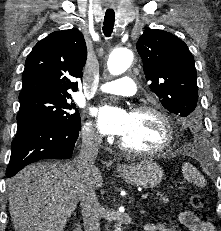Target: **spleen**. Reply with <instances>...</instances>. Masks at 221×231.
<instances>
[{"mask_svg":"<svg viewBox=\"0 0 221 231\" xmlns=\"http://www.w3.org/2000/svg\"><path fill=\"white\" fill-rule=\"evenodd\" d=\"M182 173L187 181L193 182L201 187L205 186V179L200 175L199 171L193 165L189 163L183 164Z\"/></svg>","mask_w":221,"mask_h":231,"instance_id":"3e777b00","label":"spleen"}]
</instances>
